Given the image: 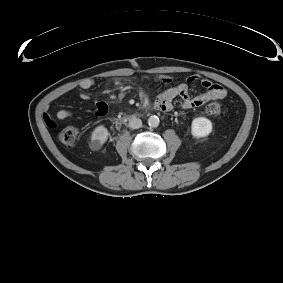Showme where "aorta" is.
I'll return each mask as SVG.
<instances>
[{
  "mask_svg": "<svg viewBox=\"0 0 283 283\" xmlns=\"http://www.w3.org/2000/svg\"><path fill=\"white\" fill-rule=\"evenodd\" d=\"M159 123H160V120L157 116H150L149 119H148V124L150 127H158L159 126Z\"/></svg>",
  "mask_w": 283,
  "mask_h": 283,
  "instance_id": "aorta-1",
  "label": "aorta"
}]
</instances>
